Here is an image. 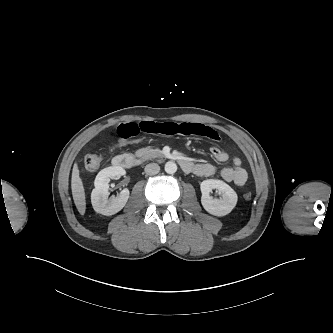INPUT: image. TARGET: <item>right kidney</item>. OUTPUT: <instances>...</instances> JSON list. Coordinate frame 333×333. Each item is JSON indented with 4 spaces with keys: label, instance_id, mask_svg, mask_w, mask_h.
I'll return each mask as SVG.
<instances>
[{
    "label": "right kidney",
    "instance_id": "right-kidney-1",
    "mask_svg": "<svg viewBox=\"0 0 333 333\" xmlns=\"http://www.w3.org/2000/svg\"><path fill=\"white\" fill-rule=\"evenodd\" d=\"M125 173V170L119 166L107 167L98 173L94 181L95 188L91 193V203L97 213L110 216L126 205L129 198L128 189H123L116 197L108 198L110 180Z\"/></svg>",
    "mask_w": 333,
    "mask_h": 333
}]
</instances>
